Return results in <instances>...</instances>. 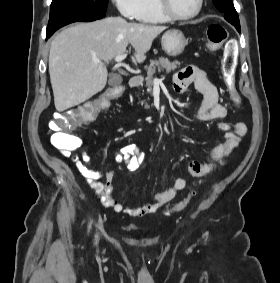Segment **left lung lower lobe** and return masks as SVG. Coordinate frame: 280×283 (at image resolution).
<instances>
[{
    "mask_svg": "<svg viewBox=\"0 0 280 283\" xmlns=\"http://www.w3.org/2000/svg\"><path fill=\"white\" fill-rule=\"evenodd\" d=\"M238 32H240V26L234 25Z\"/></svg>",
    "mask_w": 280,
    "mask_h": 283,
    "instance_id": "obj_1",
    "label": "left lung lower lobe"
}]
</instances>
